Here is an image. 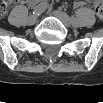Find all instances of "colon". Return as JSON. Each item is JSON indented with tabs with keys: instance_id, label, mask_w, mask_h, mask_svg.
<instances>
[{
	"instance_id": "1",
	"label": "colon",
	"mask_w": 103,
	"mask_h": 103,
	"mask_svg": "<svg viewBox=\"0 0 103 103\" xmlns=\"http://www.w3.org/2000/svg\"><path fill=\"white\" fill-rule=\"evenodd\" d=\"M10 1H6L2 4V7L0 9V13L3 14L6 11L7 6L10 4ZM90 5L95 10L98 18L100 20L103 19V3L99 0H94L90 2ZM11 6V5H10Z\"/></svg>"
}]
</instances>
